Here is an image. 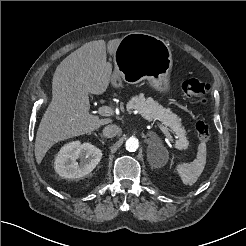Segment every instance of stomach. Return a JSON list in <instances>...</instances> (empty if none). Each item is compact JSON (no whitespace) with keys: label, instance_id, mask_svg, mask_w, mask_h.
Returning <instances> with one entry per match:
<instances>
[{"label":"stomach","instance_id":"0dacf381","mask_svg":"<svg viewBox=\"0 0 246 246\" xmlns=\"http://www.w3.org/2000/svg\"><path fill=\"white\" fill-rule=\"evenodd\" d=\"M113 57L111 84L115 88L121 87L122 81L135 84L147 80L159 93L169 91L172 53L164 40L146 33H129L120 40Z\"/></svg>","mask_w":246,"mask_h":246}]
</instances>
